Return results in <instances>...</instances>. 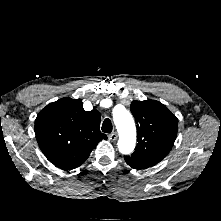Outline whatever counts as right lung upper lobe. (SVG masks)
<instances>
[{
    "label": "right lung upper lobe",
    "instance_id": "right-lung-upper-lobe-1",
    "mask_svg": "<svg viewBox=\"0 0 221 221\" xmlns=\"http://www.w3.org/2000/svg\"><path fill=\"white\" fill-rule=\"evenodd\" d=\"M100 113L85 111L80 99L50 103L35 120V134L47 159L62 170L77 168L107 136L101 133Z\"/></svg>",
    "mask_w": 221,
    "mask_h": 221
}]
</instances>
